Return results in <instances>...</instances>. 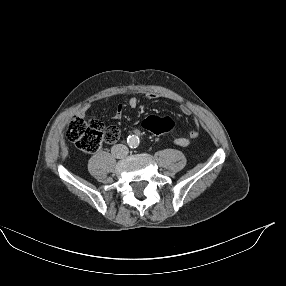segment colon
Returning a JSON list of instances; mask_svg holds the SVG:
<instances>
[{
    "label": "colon",
    "instance_id": "1",
    "mask_svg": "<svg viewBox=\"0 0 286 286\" xmlns=\"http://www.w3.org/2000/svg\"><path fill=\"white\" fill-rule=\"evenodd\" d=\"M145 129L154 136H166L174 126L175 121L169 117H162L156 112L147 114L143 120ZM66 137L80 150L93 153L100 149L103 143H115L120 138V129L117 126L104 127L98 120L85 121L79 117L71 120Z\"/></svg>",
    "mask_w": 286,
    "mask_h": 286
}]
</instances>
